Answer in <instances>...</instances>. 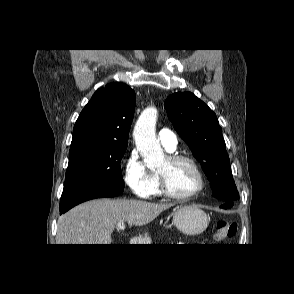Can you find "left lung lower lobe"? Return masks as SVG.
I'll return each instance as SVG.
<instances>
[{
    "label": "left lung lower lobe",
    "mask_w": 294,
    "mask_h": 294,
    "mask_svg": "<svg viewBox=\"0 0 294 294\" xmlns=\"http://www.w3.org/2000/svg\"><path fill=\"white\" fill-rule=\"evenodd\" d=\"M233 206V202L231 200H227L226 203L222 206H220L221 208L227 209Z\"/></svg>",
    "instance_id": "left-lung-lower-lobe-1"
}]
</instances>
